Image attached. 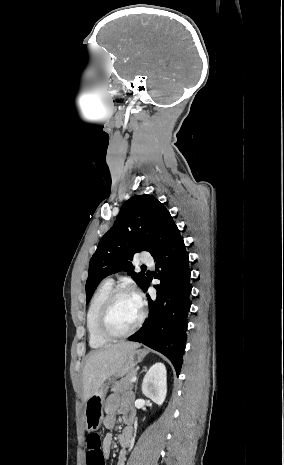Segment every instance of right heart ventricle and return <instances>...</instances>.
Segmentation results:
<instances>
[{"label": "right heart ventricle", "instance_id": "1", "mask_svg": "<svg viewBox=\"0 0 284 465\" xmlns=\"http://www.w3.org/2000/svg\"><path fill=\"white\" fill-rule=\"evenodd\" d=\"M113 284L102 282L93 293L86 313V332L89 346H108L109 342L101 339L96 332V322L100 310L111 294Z\"/></svg>", "mask_w": 284, "mask_h": 465}]
</instances>
